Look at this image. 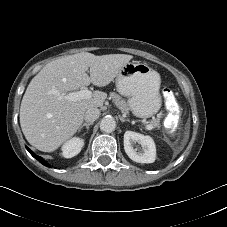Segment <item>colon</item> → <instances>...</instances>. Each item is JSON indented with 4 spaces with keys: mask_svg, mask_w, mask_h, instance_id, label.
<instances>
[{
    "mask_svg": "<svg viewBox=\"0 0 227 227\" xmlns=\"http://www.w3.org/2000/svg\"><path fill=\"white\" fill-rule=\"evenodd\" d=\"M161 95L164 98V100L169 102L171 105H178L177 99L171 89L169 88L162 89Z\"/></svg>",
    "mask_w": 227,
    "mask_h": 227,
    "instance_id": "obj_1",
    "label": "colon"
}]
</instances>
